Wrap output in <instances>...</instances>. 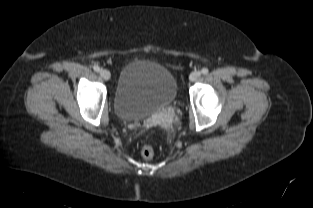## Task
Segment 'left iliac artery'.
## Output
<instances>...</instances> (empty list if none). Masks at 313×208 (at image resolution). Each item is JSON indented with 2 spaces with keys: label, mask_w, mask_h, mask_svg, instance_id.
Listing matches in <instances>:
<instances>
[{
  "label": "left iliac artery",
  "mask_w": 313,
  "mask_h": 208,
  "mask_svg": "<svg viewBox=\"0 0 313 208\" xmlns=\"http://www.w3.org/2000/svg\"><path fill=\"white\" fill-rule=\"evenodd\" d=\"M201 72L202 74H208L209 70L208 68H202Z\"/></svg>",
  "instance_id": "1"
}]
</instances>
